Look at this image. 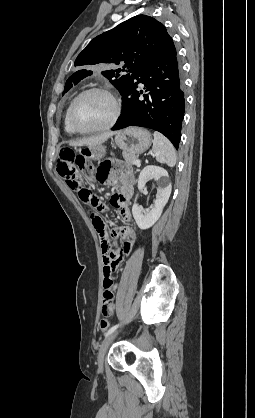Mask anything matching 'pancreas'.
Listing matches in <instances>:
<instances>
[{"instance_id": "1", "label": "pancreas", "mask_w": 255, "mask_h": 418, "mask_svg": "<svg viewBox=\"0 0 255 418\" xmlns=\"http://www.w3.org/2000/svg\"><path fill=\"white\" fill-rule=\"evenodd\" d=\"M123 157H124L126 163L129 164V165L133 164V162L135 160H137V156L136 155L129 154V153H126V152H123Z\"/></svg>"}]
</instances>
